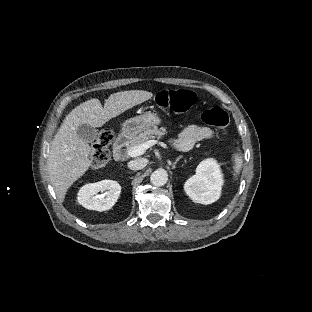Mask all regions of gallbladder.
Masks as SVG:
<instances>
[{"mask_svg": "<svg viewBox=\"0 0 312 312\" xmlns=\"http://www.w3.org/2000/svg\"><path fill=\"white\" fill-rule=\"evenodd\" d=\"M77 135L84 141L91 143L97 138V129L89 124H82L77 128Z\"/></svg>", "mask_w": 312, "mask_h": 312, "instance_id": "1", "label": "gallbladder"}]
</instances>
